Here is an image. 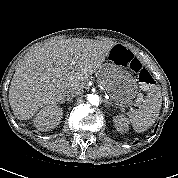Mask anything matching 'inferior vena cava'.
Segmentation results:
<instances>
[{
  "label": "inferior vena cava",
  "mask_w": 178,
  "mask_h": 178,
  "mask_svg": "<svg viewBox=\"0 0 178 178\" xmlns=\"http://www.w3.org/2000/svg\"><path fill=\"white\" fill-rule=\"evenodd\" d=\"M82 93L81 90L73 89L68 95L67 98H72L74 96L80 95Z\"/></svg>",
  "instance_id": "obj_1"
}]
</instances>
